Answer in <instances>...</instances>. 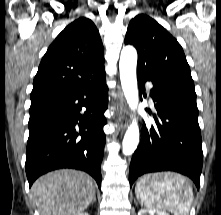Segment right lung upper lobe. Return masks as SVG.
Masks as SVG:
<instances>
[{
	"label": "right lung upper lobe",
	"mask_w": 221,
	"mask_h": 215,
	"mask_svg": "<svg viewBox=\"0 0 221 215\" xmlns=\"http://www.w3.org/2000/svg\"><path fill=\"white\" fill-rule=\"evenodd\" d=\"M105 75L104 48L94 23L69 24L43 56L33 81L30 110L84 88Z\"/></svg>",
	"instance_id": "right-lung-upper-lobe-1"
}]
</instances>
